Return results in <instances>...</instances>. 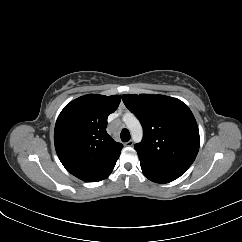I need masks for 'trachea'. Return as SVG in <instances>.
<instances>
[{"label":"trachea","mask_w":242,"mask_h":242,"mask_svg":"<svg viewBox=\"0 0 242 242\" xmlns=\"http://www.w3.org/2000/svg\"><path fill=\"white\" fill-rule=\"evenodd\" d=\"M121 140L123 142H128L130 140V132L128 131V129H123L121 131Z\"/></svg>","instance_id":"1"}]
</instances>
